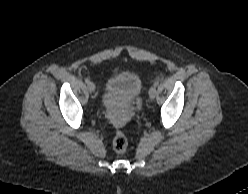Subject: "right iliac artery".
I'll return each mask as SVG.
<instances>
[{
  "mask_svg": "<svg viewBox=\"0 0 248 194\" xmlns=\"http://www.w3.org/2000/svg\"><path fill=\"white\" fill-rule=\"evenodd\" d=\"M85 83L86 84H89L90 83V80L88 78L85 79Z\"/></svg>",
  "mask_w": 248,
  "mask_h": 194,
  "instance_id": "obj_1",
  "label": "right iliac artery"
}]
</instances>
